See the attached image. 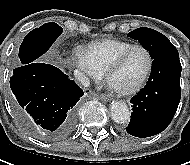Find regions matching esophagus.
<instances>
[{
  "label": "esophagus",
  "mask_w": 190,
  "mask_h": 165,
  "mask_svg": "<svg viewBox=\"0 0 190 165\" xmlns=\"http://www.w3.org/2000/svg\"><path fill=\"white\" fill-rule=\"evenodd\" d=\"M99 98L102 100V101H111L112 99H111V97L109 96V95H107V94H100L99 95Z\"/></svg>",
  "instance_id": "34e87169"
}]
</instances>
